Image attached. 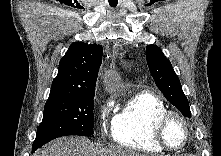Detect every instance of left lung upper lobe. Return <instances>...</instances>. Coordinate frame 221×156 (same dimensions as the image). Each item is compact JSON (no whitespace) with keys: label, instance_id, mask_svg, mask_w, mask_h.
Here are the masks:
<instances>
[{"label":"left lung upper lobe","instance_id":"obj_1","mask_svg":"<svg viewBox=\"0 0 221 156\" xmlns=\"http://www.w3.org/2000/svg\"><path fill=\"white\" fill-rule=\"evenodd\" d=\"M146 59L155 84L165 98L185 117L191 118L188 100L183 93L180 81L161 49L156 45L146 47Z\"/></svg>","mask_w":221,"mask_h":156}]
</instances>
